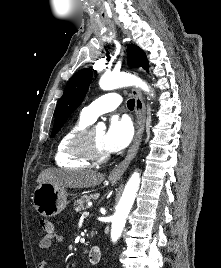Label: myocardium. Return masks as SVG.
<instances>
[{
  "label": "myocardium",
  "mask_w": 221,
  "mask_h": 268,
  "mask_svg": "<svg viewBox=\"0 0 221 268\" xmlns=\"http://www.w3.org/2000/svg\"><path fill=\"white\" fill-rule=\"evenodd\" d=\"M94 129L88 126L78 134L73 143V152L90 163H103L109 158V153H101L96 149L92 139Z\"/></svg>",
  "instance_id": "obj_1"
}]
</instances>
